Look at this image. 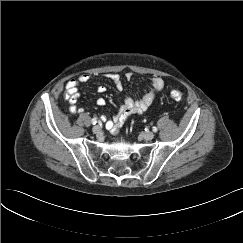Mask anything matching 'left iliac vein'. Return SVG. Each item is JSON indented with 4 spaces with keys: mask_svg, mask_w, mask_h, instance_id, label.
<instances>
[{
    "mask_svg": "<svg viewBox=\"0 0 243 243\" xmlns=\"http://www.w3.org/2000/svg\"><path fill=\"white\" fill-rule=\"evenodd\" d=\"M143 138L145 140H152L154 138V133L153 132H150V131H147V132H144L142 134Z\"/></svg>",
    "mask_w": 243,
    "mask_h": 243,
    "instance_id": "left-iliac-vein-1",
    "label": "left iliac vein"
}]
</instances>
